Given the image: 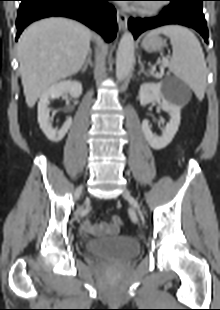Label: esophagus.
Instances as JSON below:
<instances>
[{
    "instance_id": "34e87169",
    "label": "esophagus",
    "mask_w": 220,
    "mask_h": 310,
    "mask_svg": "<svg viewBox=\"0 0 220 310\" xmlns=\"http://www.w3.org/2000/svg\"><path fill=\"white\" fill-rule=\"evenodd\" d=\"M116 17L120 31L125 30L127 28L128 16L124 12L117 10Z\"/></svg>"
}]
</instances>
